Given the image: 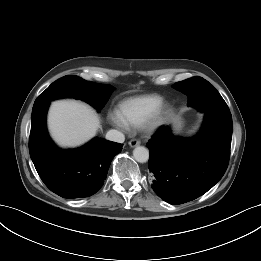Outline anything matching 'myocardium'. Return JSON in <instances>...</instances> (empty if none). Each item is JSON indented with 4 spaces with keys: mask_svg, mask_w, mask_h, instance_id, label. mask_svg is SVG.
<instances>
[{
    "mask_svg": "<svg viewBox=\"0 0 261 261\" xmlns=\"http://www.w3.org/2000/svg\"><path fill=\"white\" fill-rule=\"evenodd\" d=\"M173 107L168 102H161L157 108L142 122L145 131L152 132L157 130L172 113Z\"/></svg>",
    "mask_w": 261,
    "mask_h": 261,
    "instance_id": "obj_1",
    "label": "myocardium"
}]
</instances>
